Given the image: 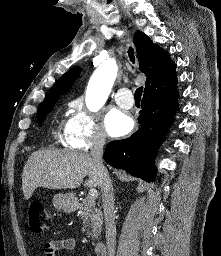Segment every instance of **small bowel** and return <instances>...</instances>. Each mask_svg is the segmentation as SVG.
Returning a JSON list of instances; mask_svg holds the SVG:
<instances>
[{
  "label": "small bowel",
  "mask_w": 221,
  "mask_h": 256,
  "mask_svg": "<svg viewBox=\"0 0 221 256\" xmlns=\"http://www.w3.org/2000/svg\"><path fill=\"white\" fill-rule=\"evenodd\" d=\"M76 245L74 238L51 240L45 243L43 256H55L57 251L74 250Z\"/></svg>",
  "instance_id": "small-bowel-1"
}]
</instances>
